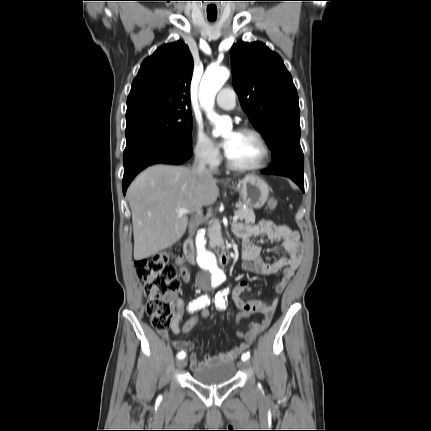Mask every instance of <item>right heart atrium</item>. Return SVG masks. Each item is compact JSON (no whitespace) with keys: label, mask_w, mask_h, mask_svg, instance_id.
<instances>
[{"label":"right heart atrium","mask_w":431,"mask_h":431,"mask_svg":"<svg viewBox=\"0 0 431 431\" xmlns=\"http://www.w3.org/2000/svg\"><path fill=\"white\" fill-rule=\"evenodd\" d=\"M193 152L199 162L209 167H215L219 162L217 147L201 129L196 132Z\"/></svg>","instance_id":"1"}]
</instances>
